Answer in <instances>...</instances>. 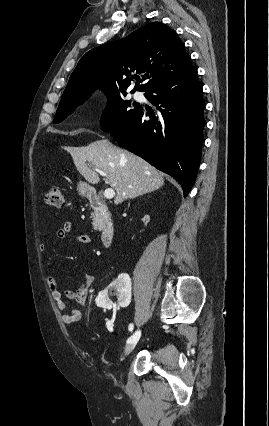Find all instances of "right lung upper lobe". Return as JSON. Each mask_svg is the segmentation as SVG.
Returning <instances> with one entry per match:
<instances>
[{"instance_id": "obj_1", "label": "right lung upper lobe", "mask_w": 269, "mask_h": 426, "mask_svg": "<svg viewBox=\"0 0 269 426\" xmlns=\"http://www.w3.org/2000/svg\"><path fill=\"white\" fill-rule=\"evenodd\" d=\"M192 66L176 32L160 22L147 24L128 37L88 51L71 74L62 98L90 96L96 88L105 94L123 93L135 75L144 73L135 90L147 91Z\"/></svg>"}]
</instances>
